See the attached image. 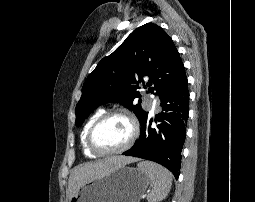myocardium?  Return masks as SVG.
<instances>
[{
	"instance_id": "1",
	"label": "myocardium",
	"mask_w": 255,
	"mask_h": 202,
	"mask_svg": "<svg viewBox=\"0 0 255 202\" xmlns=\"http://www.w3.org/2000/svg\"><path fill=\"white\" fill-rule=\"evenodd\" d=\"M114 116H120V117H124L125 119L128 120V122L130 123L131 126V135L130 138L128 139V141L120 148L116 149V150H112V151H102L99 150L94 142H93V136L94 133L96 131V129L98 128V126L105 121L106 119L110 118V117H114ZM140 133V126L138 123V120L136 119V117L126 111V110H122V109H115V110H111V111H107L102 113L91 125V127L88 130L87 133V137H86V142H87V146L90 149V151L92 153H94L95 155L98 156H111V155H117V154H121L125 151H127L129 148L132 147V145L135 143V141L137 140L138 136Z\"/></svg>"
}]
</instances>
